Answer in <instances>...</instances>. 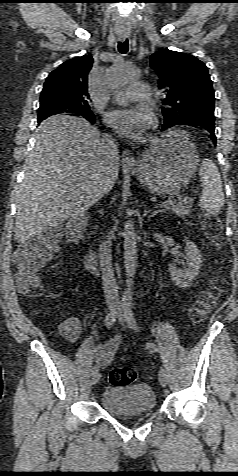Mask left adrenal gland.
Wrapping results in <instances>:
<instances>
[{"mask_svg": "<svg viewBox=\"0 0 238 476\" xmlns=\"http://www.w3.org/2000/svg\"><path fill=\"white\" fill-rule=\"evenodd\" d=\"M163 210H154L151 212V214L148 216L149 218H152L154 217L155 215L159 214V213H162Z\"/></svg>", "mask_w": 238, "mask_h": 476, "instance_id": "obj_1", "label": "left adrenal gland"}]
</instances>
